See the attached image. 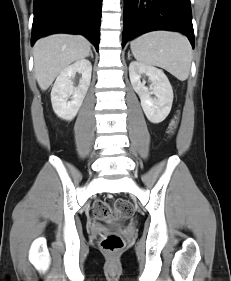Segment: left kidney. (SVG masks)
Returning a JSON list of instances; mask_svg holds the SVG:
<instances>
[{"mask_svg":"<svg viewBox=\"0 0 231 281\" xmlns=\"http://www.w3.org/2000/svg\"><path fill=\"white\" fill-rule=\"evenodd\" d=\"M143 75L148 76L151 89L145 86V81H141ZM129 77L147 119L155 124L162 122L170 113L173 102L172 86L164 72L151 65L132 61ZM152 94L155 98L151 97Z\"/></svg>","mask_w":231,"mask_h":281,"instance_id":"1","label":"left kidney"}]
</instances>
